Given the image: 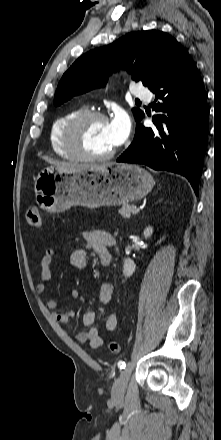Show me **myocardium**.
<instances>
[{"label":"myocardium","instance_id":"obj_1","mask_svg":"<svg viewBox=\"0 0 221 440\" xmlns=\"http://www.w3.org/2000/svg\"><path fill=\"white\" fill-rule=\"evenodd\" d=\"M99 119L108 121L106 114L95 110H86L74 116L66 125L63 133L64 145L66 150L74 159L82 161H105L111 159L116 148L102 155L89 154L81 145V131L85 123L90 120Z\"/></svg>","mask_w":221,"mask_h":440}]
</instances>
